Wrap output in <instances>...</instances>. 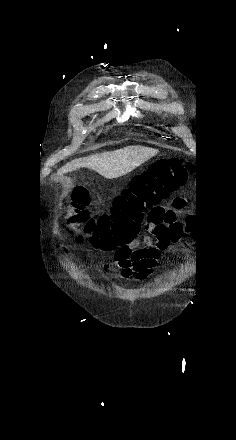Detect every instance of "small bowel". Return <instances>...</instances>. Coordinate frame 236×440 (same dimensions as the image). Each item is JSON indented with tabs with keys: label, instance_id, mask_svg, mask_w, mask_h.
I'll return each mask as SVG.
<instances>
[{
	"label": "small bowel",
	"instance_id": "obj_1",
	"mask_svg": "<svg viewBox=\"0 0 236 440\" xmlns=\"http://www.w3.org/2000/svg\"><path fill=\"white\" fill-rule=\"evenodd\" d=\"M185 206L186 200L180 197L174 200L172 208L157 205L147 214V235L118 246L114 259L122 278H145L169 246L181 242L188 232V227L181 220V211ZM103 269L109 270V264H105Z\"/></svg>",
	"mask_w": 236,
	"mask_h": 440
}]
</instances>
